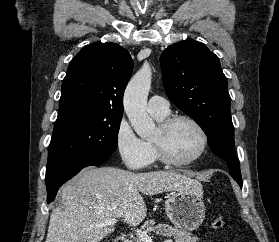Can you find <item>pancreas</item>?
Returning a JSON list of instances; mask_svg holds the SVG:
<instances>
[{
    "label": "pancreas",
    "mask_w": 279,
    "mask_h": 242,
    "mask_svg": "<svg viewBox=\"0 0 279 242\" xmlns=\"http://www.w3.org/2000/svg\"><path fill=\"white\" fill-rule=\"evenodd\" d=\"M149 232H154L158 235H162L164 237H173L175 242H197L198 237L192 235L191 233L179 229L177 227H172L167 224H158L149 228ZM130 242H143L140 238H134Z\"/></svg>",
    "instance_id": "pancreas-1"
}]
</instances>
